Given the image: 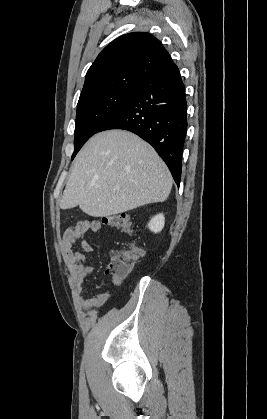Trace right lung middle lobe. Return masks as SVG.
Segmentation results:
<instances>
[{
  "mask_svg": "<svg viewBox=\"0 0 267 419\" xmlns=\"http://www.w3.org/2000/svg\"><path fill=\"white\" fill-rule=\"evenodd\" d=\"M140 85H130L96 93L78 101L75 144L72 160L84 143L115 115Z\"/></svg>",
  "mask_w": 267,
  "mask_h": 419,
  "instance_id": "dd1d6c3e",
  "label": "right lung middle lobe"
}]
</instances>
